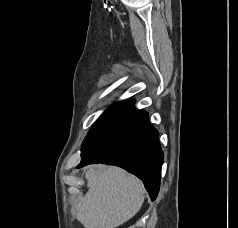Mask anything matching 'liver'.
<instances>
[{
  "instance_id": "obj_1",
  "label": "liver",
  "mask_w": 238,
  "mask_h": 228,
  "mask_svg": "<svg viewBox=\"0 0 238 228\" xmlns=\"http://www.w3.org/2000/svg\"><path fill=\"white\" fill-rule=\"evenodd\" d=\"M88 191L73 202L74 215L85 228H116L142 207V182L114 166L91 165L85 173Z\"/></svg>"
}]
</instances>
